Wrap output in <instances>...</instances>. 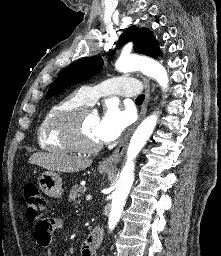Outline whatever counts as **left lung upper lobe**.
<instances>
[{"label": "left lung upper lobe", "instance_id": "left-lung-upper-lobe-1", "mask_svg": "<svg viewBox=\"0 0 221 256\" xmlns=\"http://www.w3.org/2000/svg\"><path fill=\"white\" fill-rule=\"evenodd\" d=\"M129 41H133L134 50L153 58H158L159 45L152 32L147 28L131 26L123 32L118 41L120 48ZM103 67L101 57H88L79 60L65 68L57 77L53 85L49 88L46 98L56 95L66 88L94 76Z\"/></svg>", "mask_w": 221, "mask_h": 256}]
</instances>
